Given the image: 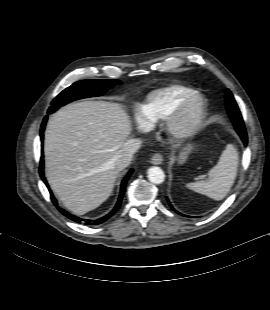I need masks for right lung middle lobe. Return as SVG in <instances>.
<instances>
[{
	"label": "right lung middle lobe",
	"instance_id": "obj_1",
	"mask_svg": "<svg viewBox=\"0 0 270 310\" xmlns=\"http://www.w3.org/2000/svg\"><path fill=\"white\" fill-rule=\"evenodd\" d=\"M119 80H82L75 82L63 90L53 101L48 114L53 113L59 107L85 97L99 96L113 86L120 84Z\"/></svg>",
	"mask_w": 270,
	"mask_h": 310
}]
</instances>
